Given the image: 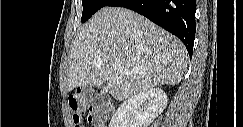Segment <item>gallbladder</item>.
<instances>
[{
    "mask_svg": "<svg viewBox=\"0 0 243 127\" xmlns=\"http://www.w3.org/2000/svg\"><path fill=\"white\" fill-rule=\"evenodd\" d=\"M103 91H104V93H106V92H105V86H104V89H103Z\"/></svg>",
    "mask_w": 243,
    "mask_h": 127,
    "instance_id": "obj_1",
    "label": "gallbladder"
}]
</instances>
